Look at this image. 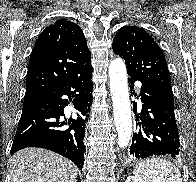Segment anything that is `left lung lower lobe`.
Here are the masks:
<instances>
[{
  "instance_id": "0a47b994",
  "label": "left lung lower lobe",
  "mask_w": 196,
  "mask_h": 182,
  "mask_svg": "<svg viewBox=\"0 0 196 182\" xmlns=\"http://www.w3.org/2000/svg\"><path fill=\"white\" fill-rule=\"evenodd\" d=\"M127 73L130 89H133L135 81L142 83L140 96L143 103L141 112L136 118L130 154L138 159L153 155L176 157L180 153V143L174 104L145 84L139 76ZM134 95L136 96V94ZM133 112L137 113V103L135 102H133Z\"/></svg>"
}]
</instances>
